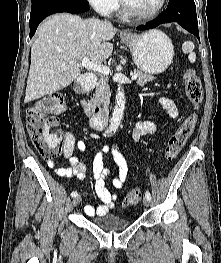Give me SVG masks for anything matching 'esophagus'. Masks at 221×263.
<instances>
[{
    "instance_id": "1",
    "label": "esophagus",
    "mask_w": 221,
    "mask_h": 263,
    "mask_svg": "<svg viewBox=\"0 0 221 263\" xmlns=\"http://www.w3.org/2000/svg\"><path fill=\"white\" fill-rule=\"evenodd\" d=\"M121 34L124 35V36H129L130 35V33L128 31H122Z\"/></svg>"
}]
</instances>
